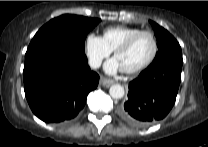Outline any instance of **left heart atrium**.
<instances>
[{"mask_svg": "<svg viewBox=\"0 0 208 147\" xmlns=\"http://www.w3.org/2000/svg\"><path fill=\"white\" fill-rule=\"evenodd\" d=\"M104 68L105 71L110 74L116 73L118 70L122 69L116 57L107 61Z\"/></svg>", "mask_w": 208, "mask_h": 147, "instance_id": "1", "label": "left heart atrium"}]
</instances>
